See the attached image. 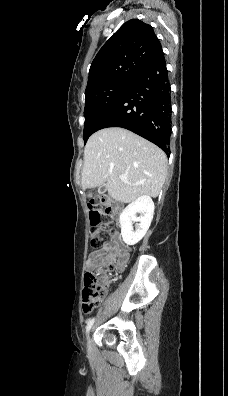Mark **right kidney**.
I'll list each match as a JSON object with an SVG mask.
<instances>
[{"instance_id":"right-kidney-1","label":"right kidney","mask_w":228,"mask_h":396,"mask_svg":"<svg viewBox=\"0 0 228 396\" xmlns=\"http://www.w3.org/2000/svg\"><path fill=\"white\" fill-rule=\"evenodd\" d=\"M154 208L152 199L147 195H143L123 210L119 222L122 239L127 245H135L145 236L153 219ZM137 213L140 214L139 217H137ZM133 222H139L135 231L132 226Z\"/></svg>"}]
</instances>
